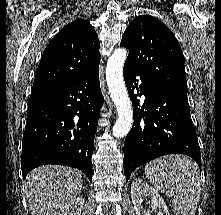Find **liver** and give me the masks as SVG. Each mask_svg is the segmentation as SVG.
Here are the masks:
<instances>
[{"label":"liver","mask_w":221,"mask_h":215,"mask_svg":"<svg viewBox=\"0 0 221 215\" xmlns=\"http://www.w3.org/2000/svg\"><path fill=\"white\" fill-rule=\"evenodd\" d=\"M82 187V172L77 169L44 165L32 170L25 184L31 215H55L79 195Z\"/></svg>","instance_id":"obj_1"}]
</instances>
